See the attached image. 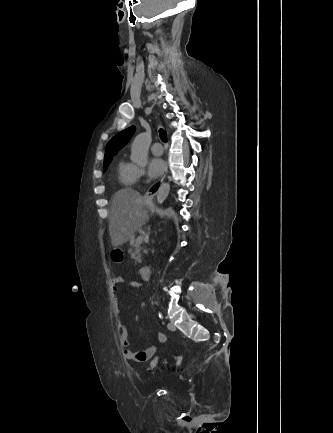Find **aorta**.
<instances>
[{
    "instance_id": "1",
    "label": "aorta",
    "mask_w": 333,
    "mask_h": 433,
    "mask_svg": "<svg viewBox=\"0 0 333 433\" xmlns=\"http://www.w3.org/2000/svg\"><path fill=\"white\" fill-rule=\"evenodd\" d=\"M149 144L145 133L139 134L131 145V159L138 166H145L148 163ZM170 191V184H163L157 192V202L162 204Z\"/></svg>"
}]
</instances>
